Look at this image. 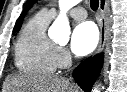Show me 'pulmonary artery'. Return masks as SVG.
Here are the masks:
<instances>
[{
    "label": "pulmonary artery",
    "mask_w": 127,
    "mask_h": 92,
    "mask_svg": "<svg viewBox=\"0 0 127 92\" xmlns=\"http://www.w3.org/2000/svg\"><path fill=\"white\" fill-rule=\"evenodd\" d=\"M46 12H48L52 17L56 16L58 14V9L51 8V9H45ZM70 16H72L76 20H83L87 17L86 10L82 7H75L69 11Z\"/></svg>",
    "instance_id": "1"
}]
</instances>
